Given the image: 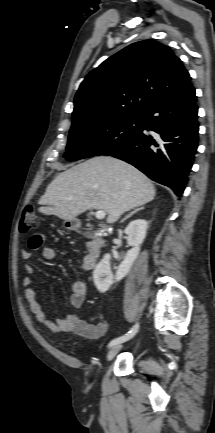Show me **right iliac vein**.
<instances>
[{
    "instance_id": "63e3f726",
    "label": "right iliac vein",
    "mask_w": 215,
    "mask_h": 433,
    "mask_svg": "<svg viewBox=\"0 0 215 433\" xmlns=\"http://www.w3.org/2000/svg\"><path fill=\"white\" fill-rule=\"evenodd\" d=\"M121 348H122L121 344H117V345L112 346L110 348V350L108 351L107 360L111 361L118 354V352L121 350Z\"/></svg>"
}]
</instances>
